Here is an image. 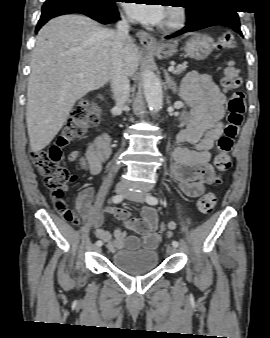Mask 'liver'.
Wrapping results in <instances>:
<instances>
[{
    "mask_svg": "<svg viewBox=\"0 0 270 338\" xmlns=\"http://www.w3.org/2000/svg\"><path fill=\"white\" fill-rule=\"evenodd\" d=\"M111 32L82 15L59 16L40 29L27 88L26 123L33 152L50 144L76 101L110 81ZM122 62L127 76H133L139 55L132 39L125 42Z\"/></svg>",
    "mask_w": 270,
    "mask_h": 338,
    "instance_id": "1",
    "label": "liver"
}]
</instances>
